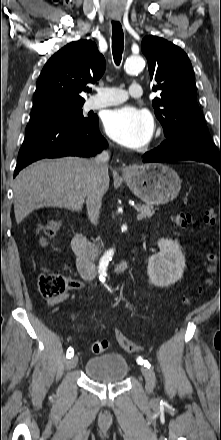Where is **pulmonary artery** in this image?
I'll return each instance as SVG.
<instances>
[{
	"label": "pulmonary artery",
	"mask_w": 221,
	"mask_h": 440,
	"mask_svg": "<svg viewBox=\"0 0 221 440\" xmlns=\"http://www.w3.org/2000/svg\"><path fill=\"white\" fill-rule=\"evenodd\" d=\"M142 95L143 88L139 83H132L128 90L116 87H102L98 89L94 97L86 102L85 108L87 110H94L117 105L125 102L129 97L138 98Z\"/></svg>",
	"instance_id": "pulmonary-artery-1"
}]
</instances>
